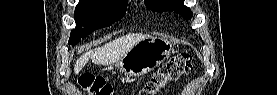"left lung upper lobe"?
<instances>
[{"mask_svg":"<svg viewBox=\"0 0 277 95\" xmlns=\"http://www.w3.org/2000/svg\"><path fill=\"white\" fill-rule=\"evenodd\" d=\"M144 3L155 11H175L185 19H191L193 15L191 9L184 5V0H144Z\"/></svg>","mask_w":277,"mask_h":95,"instance_id":"1","label":"left lung upper lobe"}]
</instances>
